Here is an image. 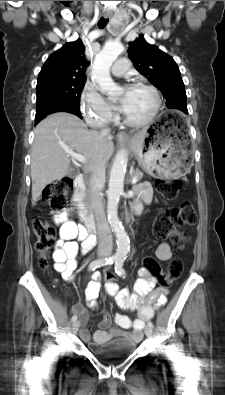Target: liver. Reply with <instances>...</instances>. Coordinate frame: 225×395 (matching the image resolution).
<instances>
[{"mask_svg":"<svg viewBox=\"0 0 225 395\" xmlns=\"http://www.w3.org/2000/svg\"><path fill=\"white\" fill-rule=\"evenodd\" d=\"M31 150L32 205L43 189L69 172L70 158L66 150L85 157L84 170L102 160L108 162L114 151L113 137L88 130L77 116L58 112L47 116L34 129Z\"/></svg>","mask_w":225,"mask_h":395,"instance_id":"1","label":"liver"}]
</instances>
